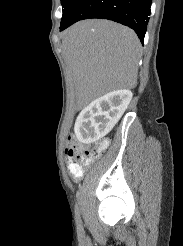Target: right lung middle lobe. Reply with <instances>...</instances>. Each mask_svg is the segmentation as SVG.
<instances>
[{"mask_svg":"<svg viewBox=\"0 0 183 246\" xmlns=\"http://www.w3.org/2000/svg\"><path fill=\"white\" fill-rule=\"evenodd\" d=\"M79 1L80 0H61V4L63 6V16L61 18V23L67 20Z\"/></svg>","mask_w":183,"mask_h":246,"instance_id":"1","label":"right lung middle lobe"}]
</instances>
